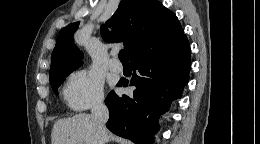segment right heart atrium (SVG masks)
I'll return each instance as SVG.
<instances>
[{
	"label": "right heart atrium",
	"instance_id": "1",
	"mask_svg": "<svg viewBox=\"0 0 260 144\" xmlns=\"http://www.w3.org/2000/svg\"><path fill=\"white\" fill-rule=\"evenodd\" d=\"M64 98L68 106L76 111L100 105L104 101L103 81L91 71L77 70L67 78Z\"/></svg>",
	"mask_w": 260,
	"mask_h": 144
}]
</instances>
